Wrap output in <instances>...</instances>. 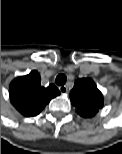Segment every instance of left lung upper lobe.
I'll use <instances>...</instances> for the list:
<instances>
[{"label":"left lung upper lobe","mask_w":122,"mask_h":154,"mask_svg":"<svg viewBox=\"0 0 122 154\" xmlns=\"http://www.w3.org/2000/svg\"><path fill=\"white\" fill-rule=\"evenodd\" d=\"M70 99L76 112L85 118L93 117L103 107V95L91 78L76 80Z\"/></svg>","instance_id":"5c2ea615"}]
</instances>
